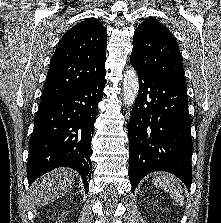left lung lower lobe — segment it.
Here are the masks:
<instances>
[{
    "mask_svg": "<svg viewBox=\"0 0 221 223\" xmlns=\"http://www.w3.org/2000/svg\"><path fill=\"white\" fill-rule=\"evenodd\" d=\"M139 91L129 122V174L132 191L150 172L192 182L191 118L186 84L155 76L137 67Z\"/></svg>",
    "mask_w": 221,
    "mask_h": 223,
    "instance_id": "1",
    "label": "left lung lower lobe"
}]
</instances>
